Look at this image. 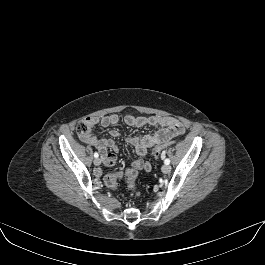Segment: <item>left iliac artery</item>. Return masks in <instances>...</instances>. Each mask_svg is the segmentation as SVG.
I'll return each instance as SVG.
<instances>
[{
    "label": "left iliac artery",
    "mask_w": 265,
    "mask_h": 265,
    "mask_svg": "<svg viewBox=\"0 0 265 265\" xmlns=\"http://www.w3.org/2000/svg\"><path fill=\"white\" fill-rule=\"evenodd\" d=\"M164 163L165 164H170V160L169 159H165Z\"/></svg>",
    "instance_id": "1"
}]
</instances>
